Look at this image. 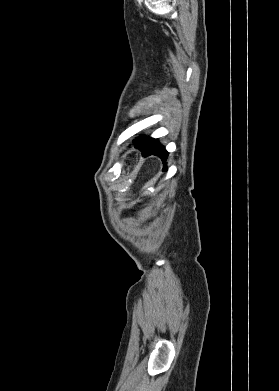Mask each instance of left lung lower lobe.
I'll return each instance as SVG.
<instances>
[{
	"label": "left lung lower lobe",
	"mask_w": 279,
	"mask_h": 391,
	"mask_svg": "<svg viewBox=\"0 0 279 391\" xmlns=\"http://www.w3.org/2000/svg\"><path fill=\"white\" fill-rule=\"evenodd\" d=\"M136 143L135 147L139 148L144 157L150 155L159 156L163 162H166L168 157V152L165 150V147L159 144L157 139L150 137H140L134 141ZM163 170H166V166Z\"/></svg>",
	"instance_id": "0a47b994"
}]
</instances>
